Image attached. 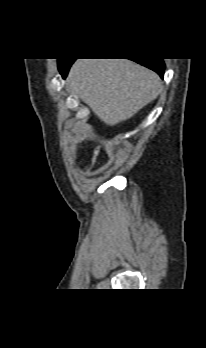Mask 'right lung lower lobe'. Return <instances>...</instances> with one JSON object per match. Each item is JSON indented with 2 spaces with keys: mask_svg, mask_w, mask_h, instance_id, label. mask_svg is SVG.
Wrapping results in <instances>:
<instances>
[{
  "mask_svg": "<svg viewBox=\"0 0 206 348\" xmlns=\"http://www.w3.org/2000/svg\"><path fill=\"white\" fill-rule=\"evenodd\" d=\"M75 61V59H69V60H61V63L58 64V68L62 76L65 78L70 66ZM133 61L144 65L153 71L157 72L161 78L164 77V69L165 64L163 62V59H157V58H140V59H134Z\"/></svg>",
  "mask_w": 206,
  "mask_h": 348,
  "instance_id": "1",
  "label": "right lung lower lobe"
}]
</instances>
